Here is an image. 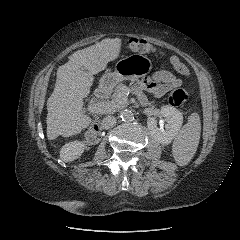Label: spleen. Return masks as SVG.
I'll return each instance as SVG.
<instances>
[{"instance_id": "1", "label": "spleen", "mask_w": 240, "mask_h": 240, "mask_svg": "<svg viewBox=\"0 0 240 240\" xmlns=\"http://www.w3.org/2000/svg\"><path fill=\"white\" fill-rule=\"evenodd\" d=\"M201 134V122L198 113H192L188 122L176 136L172 145V155L179 166L187 165L197 151Z\"/></svg>"}]
</instances>
